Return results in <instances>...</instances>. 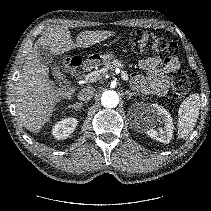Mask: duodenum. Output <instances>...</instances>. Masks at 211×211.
Listing matches in <instances>:
<instances>
[{
	"label": "duodenum",
	"instance_id": "obj_1",
	"mask_svg": "<svg viewBox=\"0 0 211 211\" xmlns=\"http://www.w3.org/2000/svg\"><path fill=\"white\" fill-rule=\"evenodd\" d=\"M98 62L97 58H89L88 60H86L83 65L79 67L78 70H74V74L75 75H80L82 73V71H87V70H91Z\"/></svg>",
	"mask_w": 211,
	"mask_h": 211
}]
</instances>
